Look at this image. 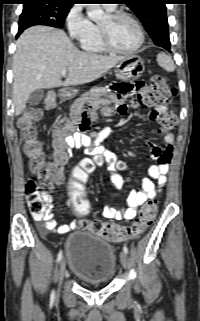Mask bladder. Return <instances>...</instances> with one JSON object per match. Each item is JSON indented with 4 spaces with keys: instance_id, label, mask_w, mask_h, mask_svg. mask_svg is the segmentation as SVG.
<instances>
[{
    "instance_id": "1",
    "label": "bladder",
    "mask_w": 200,
    "mask_h": 321,
    "mask_svg": "<svg viewBox=\"0 0 200 321\" xmlns=\"http://www.w3.org/2000/svg\"><path fill=\"white\" fill-rule=\"evenodd\" d=\"M65 253L71 272L88 284L109 282L116 269L114 248L103 238L75 231L65 241Z\"/></svg>"
}]
</instances>
